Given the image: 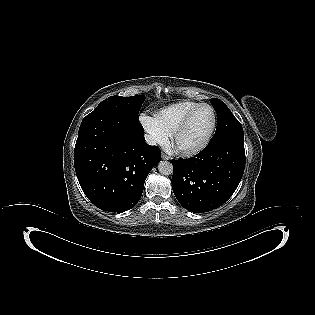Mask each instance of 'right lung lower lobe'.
Here are the masks:
<instances>
[{"label":"right lung lower lobe","instance_id":"1","mask_svg":"<svg viewBox=\"0 0 315 315\" xmlns=\"http://www.w3.org/2000/svg\"><path fill=\"white\" fill-rule=\"evenodd\" d=\"M143 135L138 121L109 111L83 119L74 165L84 194L96 207L123 212L138 203L145 179L161 157L158 146L148 145Z\"/></svg>","mask_w":315,"mask_h":315}]
</instances>
